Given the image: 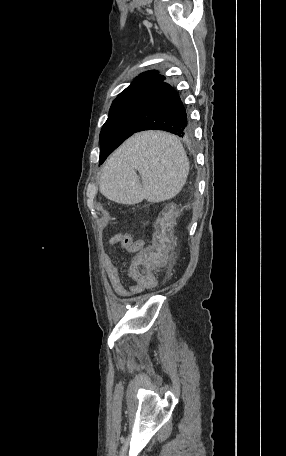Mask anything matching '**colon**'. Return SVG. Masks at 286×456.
<instances>
[{"mask_svg":"<svg viewBox=\"0 0 286 456\" xmlns=\"http://www.w3.org/2000/svg\"><path fill=\"white\" fill-rule=\"evenodd\" d=\"M138 254L130 267V276L138 290L153 288L158 283L157 270L167 263L169 252V234L162 220L155 227L151 245L137 248Z\"/></svg>","mask_w":286,"mask_h":456,"instance_id":"obj_1","label":"colon"}]
</instances>
